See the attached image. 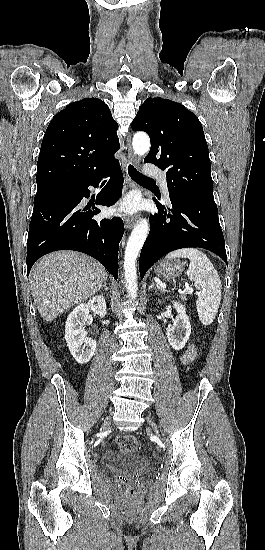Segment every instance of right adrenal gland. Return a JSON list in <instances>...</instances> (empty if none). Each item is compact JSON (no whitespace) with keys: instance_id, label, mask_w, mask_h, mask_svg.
Returning a JSON list of instances; mask_svg holds the SVG:
<instances>
[{"instance_id":"obj_1","label":"right adrenal gland","mask_w":265,"mask_h":550,"mask_svg":"<svg viewBox=\"0 0 265 550\" xmlns=\"http://www.w3.org/2000/svg\"><path fill=\"white\" fill-rule=\"evenodd\" d=\"M103 288H104L105 290H108V287H107V283H106V282L104 283L102 289H103Z\"/></svg>"}]
</instances>
